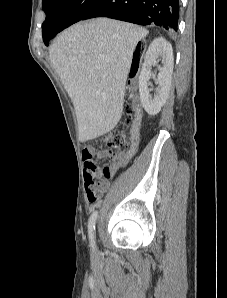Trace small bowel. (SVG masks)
Masks as SVG:
<instances>
[{"mask_svg": "<svg viewBox=\"0 0 227 298\" xmlns=\"http://www.w3.org/2000/svg\"><path fill=\"white\" fill-rule=\"evenodd\" d=\"M141 120L140 109L137 110L136 118L131 129V135L133 141L136 142L139 136V127ZM130 154L112 153L108 150H98V146H83L81 158L83 159L84 166V181L86 190L91 188H97L100 196L108 189L109 181L115 173L123 166H125L129 159ZM110 157L113 159V163L110 166H106L99 169L95 158ZM103 177L99 182H95V177Z\"/></svg>", "mask_w": 227, "mask_h": 298, "instance_id": "c3829d8e", "label": "small bowel"}]
</instances>
